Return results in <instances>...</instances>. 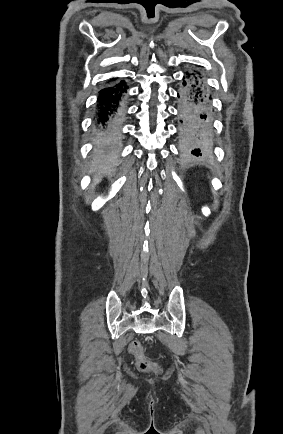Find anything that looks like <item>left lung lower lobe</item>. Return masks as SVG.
I'll return each mask as SVG.
<instances>
[{
  "label": "left lung lower lobe",
  "mask_w": 283,
  "mask_h": 434,
  "mask_svg": "<svg viewBox=\"0 0 283 434\" xmlns=\"http://www.w3.org/2000/svg\"><path fill=\"white\" fill-rule=\"evenodd\" d=\"M210 91L201 77L186 73L177 95L179 137L182 145L201 156L212 144Z\"/></svg>",
  "instance_id": "left-lung-lower-lobe-1"
}]
</instances>
